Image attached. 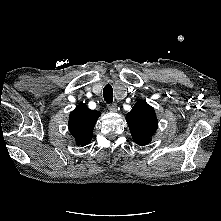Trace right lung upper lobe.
Wrapping results in <instances>:
<instances>
[{
    "instance_id": "cb5924a9",
    "label": "right lung upper lobe",
    "mask_w": 221,
    "mask_h": 221,
    "mask_svg": "<svg viewBox=\"0 0 221 221\" xmlns=\"http://www.w3.org/2000/svg\"><path fill=\"white\" fill-rule=\"evenodd\" d=\"M100 112L90 110L85 104H79L69 116V131L78 146H85L92 139L93 129Z\"/></svg>"
}]
</instances>
